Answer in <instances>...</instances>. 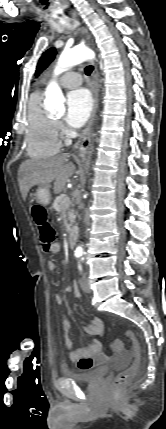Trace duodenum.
<instances>
[{
  "label": "duodenum",
  "mask_w": 166,
  "mask_h": 429,
  "mask_svg": "<svg viewBox=\"0 0 166 429\" xmlns=\"http://www.w3.org/2000/svg\"><path fill=\"white\" fill-rule=\"evenodd\" d=\"M67 239L69 246L74 247L76 243V231L74 229L69 231Z\"/></svg>",
  "instance_id": "obj_1"
}]
</instances>
